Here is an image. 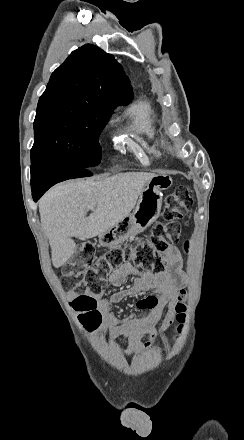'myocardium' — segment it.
<instances>
[{
	"label": "myocardium",
	"mask_w": 244,
	"mask_h": 440,
	"mask_svg": "<svg viewBox=\"0 0 244 440\" xmlns=\"http://www.w3.org/2000/svg\"><path fill=\"white\" fill-rule=\"evenodd\" d=\"M130 128H131V127H127V128L125 129V131H126L127 129L129 130Z\"/></svg>",
	"instance_id": "obj_1"
}]
</instances>
